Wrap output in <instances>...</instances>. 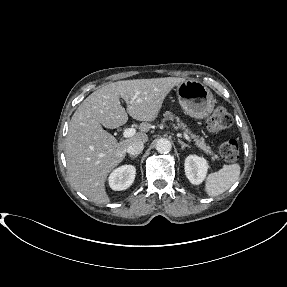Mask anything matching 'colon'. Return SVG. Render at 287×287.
Listing matches in <instances>:
<instances>
[{"mask_svg": "<svg viewBox=\"0 0 287 287\" xmlns=\"http://www.w3.org/2000/svg\"><path fill=\"white\" fill-rule=\"evenodd\" d=\"M233 120L230 113L223 107L217 108L209 117L206 128L210 133H217L231 126ZM220 156L227 162L237 160L239 146L235 139L230 138L223 141L219 146Z\"/></svg>", "mask_w": 287, "mask_h": 287, "instance_id": "5ec220e1", "label": "colon"}]
</instances>
